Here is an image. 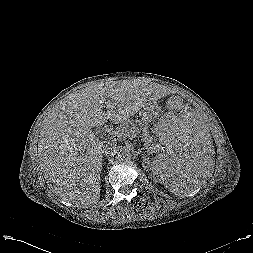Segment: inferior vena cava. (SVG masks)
I'll return each instance as SVG.
<instances>
[{"label":"inferior vena cava","mask_w":253,"mask_h":253,"mask_svg":"<svg viewBox=\"0 0 253 253\" xmlns=\"http://www.w3.org/2000/svg\"><path fill=\"white\" fill-rule=\"evenodd\" d=\"M117 152V145L114 142H108L106 145L103 146L102 153L106 156L113 155Z\"/></svg>","instance_id":"obj_1"}]
</instances>
